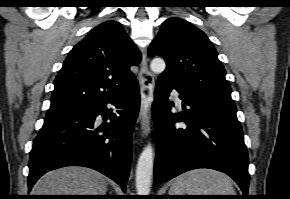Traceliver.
Segmentation results:
<instances>
[{"label":"liver","instance_id":"liver-1","mask_svg":"<svg viewBox=\"0 0 290 199\" xmlns=\"http://www.w3.org/2000/svg\"><path fill=\"white\" fill-rule=\"evenodd\" d=\"M107 179L84 167H65L45 174L35 184L33 195H105Z\"/></svg>","mask_w":290,"mask_h":199}]
</instances>
